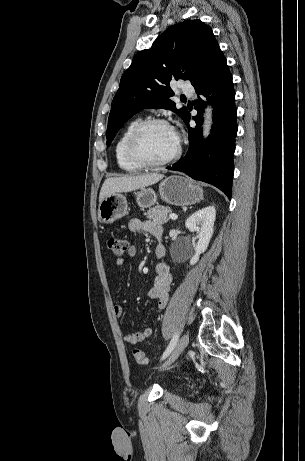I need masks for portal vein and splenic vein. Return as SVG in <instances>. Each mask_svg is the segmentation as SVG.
<instances>
[{
	"label": "portal vein and splenic vein",
	"instance_id": "18ae733b",
	"mask_svg": "<svg viewBox=\"0 0 305 461\" xmlns=\"http://www.w3.org/2000/svg\"><path fill=\"white\" fill-rule=\"evenodd\" d=\"M169 218H171L172 220H176L178 218V216L174 213H171L169 214Z\"/></svg>",
	"mask_w": 305,
	"mask_h": 461
}]
</instances>
